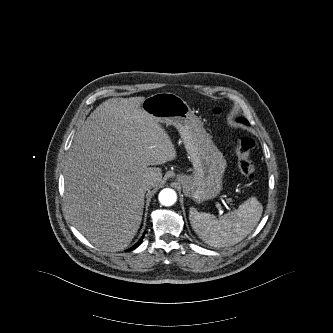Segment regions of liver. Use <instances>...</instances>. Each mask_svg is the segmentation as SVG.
Returning a JSON list of instances; mask_svg holds the SVG:
<instances>
[{"label": "liver", "instance_id": "1", "mask_svg": "<svg viewBox=\"0 0 333 333\" xmlns=\"http://www.w3.org/2000/svg\"><path fill=\"white\" fill-rule=\"evenodd\" d=\"M144 99L103 102L76 133L68 153L67 213L79 232L101 250L128 247L141 224L146 191L162 180V171L155 166L176 158L168 134L141 109ZM149 177L156 183L147 189L144 182Z\"/></svg>", "mask_w": 333, "mask_h": 333}]
</instances>
